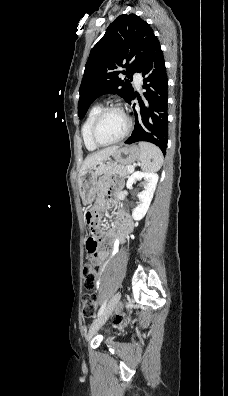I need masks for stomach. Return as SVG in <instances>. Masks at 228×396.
Segmentation results:
<instances>
[{"mask_svg": "<svg viewBox=\"0 0 228 396\" xmlns=\"http://www.w3.org/2000/svg\"><path fill=\"white\" fill-rule=\"evenodd\" d=\"M141 149L137 145L119 147L112 157L121 165H130L140 159ZM102 167V166H101ZM89 168L79 177L78 190L84 205H90L96 197V181L100 168Z\"/></svg>", "mask_w": 228, "mask_h": 396, "instance_id": "stomach-1", "label": "stomach"}]
</instances>
